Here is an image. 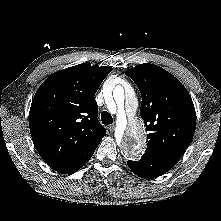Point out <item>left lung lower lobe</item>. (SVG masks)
<instances>
[{
	"instance_id": "obj_1",
	"label": "left lung lower lobe",
	"mask_w": 221,
	"mask_h": 221,
	"mask_svg": "<svg viewBox=\"0 0 221 221\" xmlns=\"http://www.w3.org/2000/svg\"><path fill=\"white\" fill-rule=\"evenodd\" d=\"M129 168L138 176L154 178L163 175L173 167V163L144 154L140 161H128Z\"/></svg>"
}]
</instances>
